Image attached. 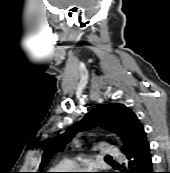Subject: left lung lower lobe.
I'll return each mask as SVG.
<instances>
[{
  "instance_id": "obj_1",
  "label": "left lung lower lobe",
  "mask_w": 170,
  "mask_h": 173,
  "mask_svg": "<svg viewBox=\"0 0 170 173\" xmlns=\"http://www.w3.org/2000/svg\"><path fill=\"white\" fill-rule=\"evenodd\" d=\"M124 154L128 159V165L121 173H154L148 141L140 143Z\"/></svg>"
}]
</instances>
